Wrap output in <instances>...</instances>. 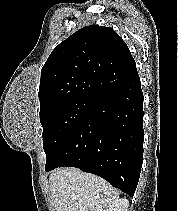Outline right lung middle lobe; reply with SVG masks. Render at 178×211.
Wrapping results in <instances>:
<instances>
[{
  "label": "right lung middle lobe",
  "instance_id": "dd1d6c3e",
  "mask_svg": "<svg viewBox=\"0 0 178 211\" xmlns=\"http://www.w3.org/2000/svg\"><path fill=\"white\" fill-rule=\"evenodd\" d=\"M97 99L74 98L40 110L43 127V147L48 157L52 151L85 118Z\"/></svg>",
  "mask_w": 178,
  "mask_h": 211
}]
</instances>
